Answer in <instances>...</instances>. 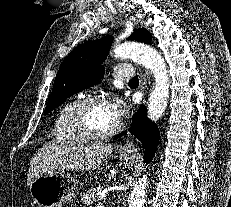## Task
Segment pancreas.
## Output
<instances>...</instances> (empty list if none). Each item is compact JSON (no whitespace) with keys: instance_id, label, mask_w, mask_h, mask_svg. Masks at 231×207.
Returning a JSON list of instances; mask_svg holds the SVG:
<instances>
[{"instance_id":"cf45deb5","label":"pancreas","mask_w":231,"mask_h":207,"mask_svg":"<svg viewBox=\"0 0 231 207\" xmlns=\"http://www.w3.org/2000/svg\"><path fill=\"white\" fill-rule=\"evenodd\" d=\"M103 190L101 187L91 188L83 193L81 201L85 205H90L94 203H99L101 200V194Z\"/></svg>"}]
</instances>
